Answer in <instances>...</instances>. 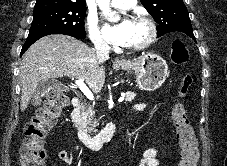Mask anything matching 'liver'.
Here are the masks:
<instances>
[{
  "label": "liver",
  "mask_w": 227,
  "mask_h": 166,
  "mask_svg": "<svg viewBox=\"0 0 227 166\" xmlns=\"http://www.w3.org/2000/svg\"><path fill=\"white\" fill-rule=\"evenodd\" d=\"M68 76L83 79L94 93L105 82V69L99 67L96 51L73 37L54 34L35 42L20 66L22 112L36 92L38 83Z\"/></svg>",
  "instance_id": "liver-1"
}]
</instances>
